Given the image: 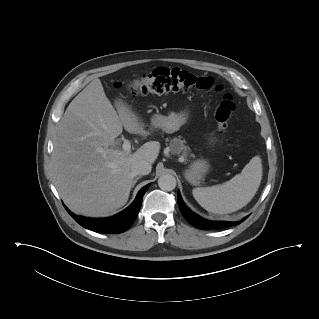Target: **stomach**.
I'll list each match as a JSON object with an SVG mask.
<instances>
[{
	"label": "stomach",
	"instance_id": "obj_1",
	"mask_svg": "<svg viewBox=\"0 0 319 319\" xmlns=\"http://www.w3.org/2000/svg\"><path fill=\"white\" fill-rule=\"evenodd\" d=\"M189 117L188 111H180L179 113H171L169 116L155 114L151 118V125L154 128H160L166 133H174L184 125ZM210 169V165L206 160L199 159L194 161L189 169L185 171L186 180L197 185L205 177Z\"/></svg>",
	"mask_w": 319,
	"mask_h": 319
}]
</instances>
